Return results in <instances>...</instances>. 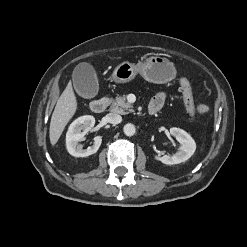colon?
Returning a JSON list of instances; mask_svg holds the SVG:
<instances>
[{
	"label": "colon",
	"instance_id": "colon-1",
	"mask_svg": "<svg viewBox=\"0 0 247 247\" xmlns=\"http://www.w3.org/2000/svg\"><path fill=\"white\" fill-rule=\"evenodd\" d=\"M179 87L183 95V100H184L187 112L191 116H194L197 112H199V110L194 105L190 82L185 77H182L179 80Z\"/></svg>",
	"mask_w": 247,
	"mask_h": 247
}]
</instances>
